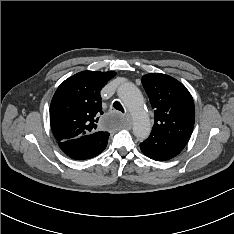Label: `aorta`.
I'll return each mask as SVG.
<instances>
[{
  "label": "aorta",
  "instance_id": "1",
  "mask_svg": "<svg viewBox=\"0 0 234 234\" xmlns=\"http://www.w3.org/2000/svg\"><path fill=\"white\" fill-rule=\"evenodd\" d=\"M118 96L133 117L134 135L145 140L150 135L151 124L140 91L133 83L127 82L119 87Z\"/></svg>",
  "mask_w": 234,
  "mask_h": 234
}]
</instances>
